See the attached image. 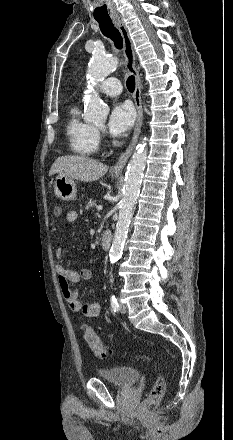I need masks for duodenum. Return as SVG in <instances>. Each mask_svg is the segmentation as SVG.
<instances>
[{"label":"duodenum","mask_w":233,"mask_h":440,"mask_svg":"<svg viewBox=\"0 0 233 440\" xmlns=\"http://www.w3.org/2000/svg\"><path fill=\"white\" fill-rule=\"evenodd\" d=\"M112 242V233L109 230H105L101 236V246L104 250H107Z\"/></svg>","instance_id":"1"}]
</instances>
